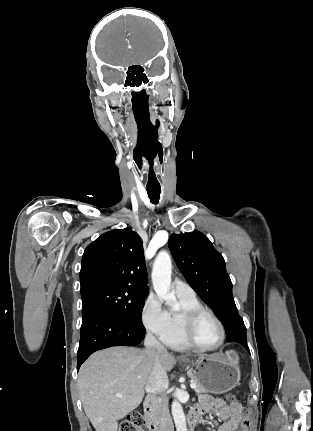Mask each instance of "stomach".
<instances>
[{
	"instance_id": "1",
	"label": "stomach",
	"mask_w": 313,
	"mask_h": 431,
	"mask_svg": "<svg viewBox=\"0 0 313 431\" xmlns=\"http://www.w3.org/2000/svg\"><path fill=\"white\" fill-rule=\"evenodd\" d=\"M190 363V360H185ZM190 369L206 392L222 394L232 390L240 383L238 357L235 353L200 356L192 361Z\"/></svg>"
}]
</instances>
